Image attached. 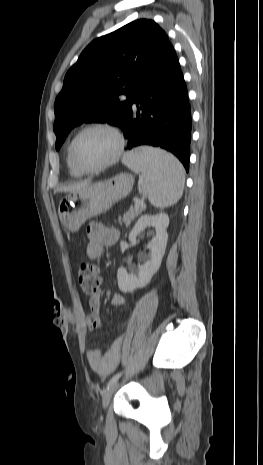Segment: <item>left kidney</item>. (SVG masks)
<instances>
[{"mask_svg":"<svg viewBox=\"0 0 263 465\" xmlns=\"http://www.w3.org/2000/svg\"><path fill=\"white\" fill-rule=\"evenodd\" d=\"M168 225L169 217L165 213L143 215L138 219L129 234L131 242H136L137 236L148 227H154L156 234L148 243L147 247L151 252L144 264L139 265L137 270L131 274H128L124 267L118 269V287L122 292H133L136 288L146 286L158 271L167 245Z\"/></svg>","mask_w":263,"mask_h":465,"instance_id":"1","label":"left kidney"}]
</instances>
